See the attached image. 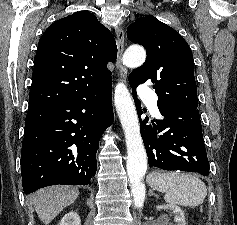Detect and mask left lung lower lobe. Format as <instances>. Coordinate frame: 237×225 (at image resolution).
I'll return each instance as SVG.
<instances>
[{
    "label": "left lung lower lobe",
    "mask_w": 237,
    "mask_h": 225,
    "mask_svg": "<svg viewBox=\"0 0 237 225\" xmlns=\"http://www.w3.org/2000/svg\"><path fill=\"white\" fill-rule=\"evenodd\" d=\"M133 88V87H132ZM140 119V131L148 155L149 167L164 170L198 172L209 175V162L203 141L197 103L178 106L159 105L165 118L156 125H147L148 117L141 120V105L136 90H132Z\"/></svg>",
    "instance_id": "1"
}]
</instances>
